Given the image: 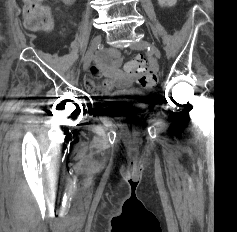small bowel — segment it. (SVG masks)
<instances>
[{"instance_id": "1", "label": "small bowel", "mask_w": 237, "mask_h": 232, "mask_svg": "<svg viewBox=\"0 0 237 232\" xmlns=\"http://www.w3.org/2000/svg\"><path fill=\"white\" fill-rule=\"evenodd\" d=\"M122 63L123 57L119 50L116 48L108 49L97 57L96 65L85 77V87L95 96L114 97L117 92L125 91L129 83L113 78L119 74ZM102 76L107 77V79L98 85L95 80Z\"/></svg>"}]
</instances>
